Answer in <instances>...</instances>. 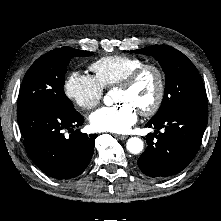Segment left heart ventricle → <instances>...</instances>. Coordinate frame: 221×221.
<instances>
[{
  "instance_id": "left-heart-ventricle-1",
  "label": "left heart ventricle",
  "mask_w": 221,
  "mask_h": 221,
  "mask_svg": "<svg viewBox=\"0 0 221 221\" xmlns=\"http://www.w3.org/2000/svg\"><path fill=\"white\" fill-rule=\"evenodd\" d=\"M157 78L153 71H145L129 89L117 88L114 100L117 103L128 102L136 110L149 107L156 96Z\"/></svg>"
}]
</instances>
